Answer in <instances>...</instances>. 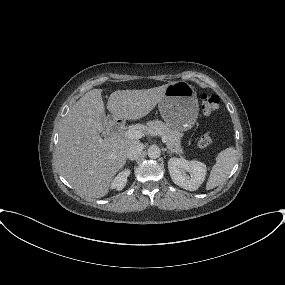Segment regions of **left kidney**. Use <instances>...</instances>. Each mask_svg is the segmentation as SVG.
I'll return each instance as SVG.
<instances>
[{
    "instance_id": "obj_1",
    "label": "left kidney",
    "mask_w": 285,
    "mask_h": 285,
    "mask_svg": "<svg viewBox=\"0 0 285 285\" xmlns=\"http://www.w3.org/2000/svg\"><path fill=\"white\" fill-rule=\"evenodd\" d=\"M168 170L176 185L189 191H195L204 182L207 167L200 161H188L184 158L173 157L168 161Z\"/></svg>"
}]
</instances>
